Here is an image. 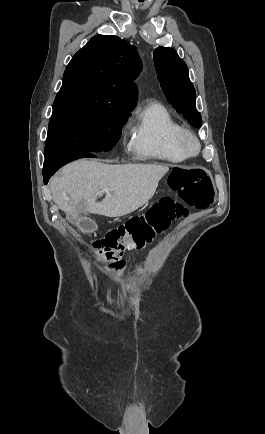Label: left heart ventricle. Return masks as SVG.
I'll return each instance as SVG.
<instances>
[{
	"label": "left heart ventricle",
	"instance_id": "1",
	"mask_svg": "<svg viewBox=\"0 0 265 434\" xmlns=\"http://www.w3.org/2000/svg\"><path fill=\"white\" fill-rule=\"evenodd\" d=\"M187 147H188V150L190 152H194L196 150V147H195V145L193 143H188Z\"/></svg>",
	"mask_w": 265,
	"mask_h": 434
}]
</instances>
